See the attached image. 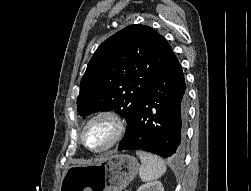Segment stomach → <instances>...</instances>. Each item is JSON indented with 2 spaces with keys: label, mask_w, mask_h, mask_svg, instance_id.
<instances>
[{
  "label": "stomach",
  "mask_w": 251,
  "mask_h": 191,
  "mask_svg": "<svg viewBox=\"0 0 251 191\" xmlns=\"http://www.w3.org/2000/svg\"><path fill=\"white\" fill-rule=\"evenodd\" d=\"M139 163L128 153H109L96 163L70 165L59 191H122L135 175Z\"/></svg>",
  "instance_id": "obj_1"
}]
</instances>
